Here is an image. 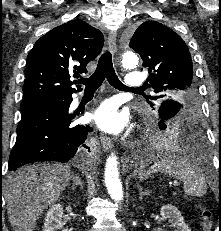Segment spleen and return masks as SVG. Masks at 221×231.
Wrapping results in <instances>:
<instances>
[{"label": "spleen", "instance_id": "spleen-1", "mask_svg": "<svg viewBox=\"0 0 221 231\" xmlns=\"http://www.w3.org/2000/svg\"><path fill=\"white\" fill-rule=\"evenodd\" d=\"M158 172L181 180L185 193L190 196L201 197L206 194L207 186L203 174L198 169L197 163L187 157L164 156L148 170V173Z\"/></svg>", "mask_w": 221, "mask_h": 231}]
</instances>
